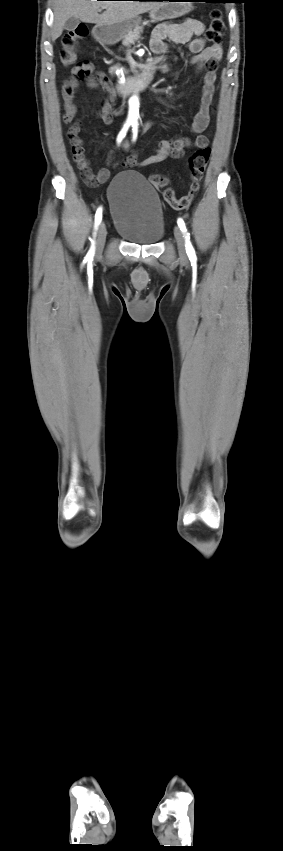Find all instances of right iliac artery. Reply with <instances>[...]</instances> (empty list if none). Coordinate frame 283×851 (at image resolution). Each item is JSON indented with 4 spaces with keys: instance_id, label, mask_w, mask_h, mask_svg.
I'll list each match as a JSON object with an SVG mask.
<instances>
[{
    "instance_id": "obj_1",
    "label": "right iliac artery",
    "mask_w": 283,
    "mask_h": 851,
    "mask_svg": "<svg viewBox=\"0 0 283 851\" xmlns=\"http://www.w3.org/2000/svg\"><path fill=\"white\" fill-rule=\"evenodd\" d=\"M128 128H129V125L125 124L124 127L122 128V130L120 131L118 137H117V143H120L122 141V139L125 137ZM101 219H102V208L100 207V208H98V210L96 211V214H95V229H97L99 223L101 222ZM93 255H94V248L92 247L90 249V251L88 252V256L92 258Z\"/></svg>"
}]
</instances>
